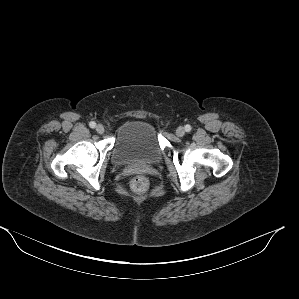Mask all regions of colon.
<instances>
[{"instance_id":"5ec220e1","label":"colon","mask_w":299,"mask_h":299,"mask_svg":"<svg viewBox=\"0 0 299 299\" xmlns=\"http://www.w3.org/2000/svg\"><path fill=\"white\" fill-rule=\"evenodd\" d=\"M131 187L135 192L144 193L149 188V181L143 175H138L131 181Z\"/></svg>"}]
</instances>
